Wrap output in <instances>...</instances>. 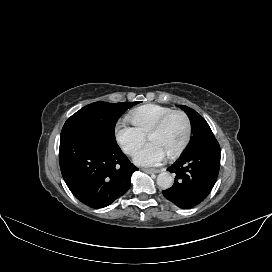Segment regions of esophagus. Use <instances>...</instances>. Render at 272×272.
Segmentation results:
<instances>
[{
    "label": "esophagus",
    "mask_w": 272,
    "mask_h": 272,
    "mask_svg": "<svg viewBox=\"0 0 272 272\" xmlns=\"http://www.w3.org/2000/svg\"><path fill=\"white\" fill-rule=\"evenodd\" d=\"M144 172L148 173V174H152V173H160L162 170L160 169H143Z\"/></svg>",
    "instance_id": "obj_1"
}]
</instances>
